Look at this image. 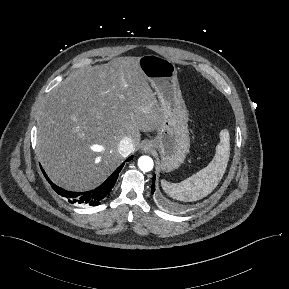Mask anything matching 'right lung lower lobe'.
<instances>
[{
  "label": "right lung lower lobe",
  "mask_w": 289,
  "mask_h": 289,
  "mask_svg": "<svg viewBox=\"0 0 289 289\" xmlns=\"http://www.w3.org/2000/svg\"><path fill=\"white\" fill-rule=\"evenodd\" d=\"M133 158V156H130L126 161H129ZM125 162L122 163L113 173L112 175L99 187H97L94 190L86 191V192H70L67 190H64L58 186H56L54 183H52L49 178L47 177L46 173L42 169V172L46 179L49 181L52 188L61 196L66 197L70 203H83V204H89L91 206L100 204L101 200H103L106 195L111 191V189L114 187L116 180L118 178L119 172L123 168Z\"/></svg>",
  "instance_id": "98d812e1"
}]
</instances>
